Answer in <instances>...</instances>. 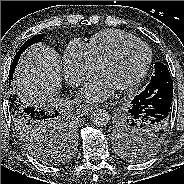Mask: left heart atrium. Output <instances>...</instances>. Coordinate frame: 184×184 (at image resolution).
<instances>
[{
	"label": "left heart atrium",
	"mask_w": 184,
	"mask_h": 184,
	"mask_svg": "<svg viewBox=\"0 0 184 184\" xmlns=\"http://www.w3.org/2000/svg\"><path fill=\"white\" fill-rule=\"evenodd\" d=\"M116 88L103 74L90 80L80 92V98L88 102H101L110 97Z\"/></svg>",
	"instance_id": "39dd6f15"
}]
</instances>
